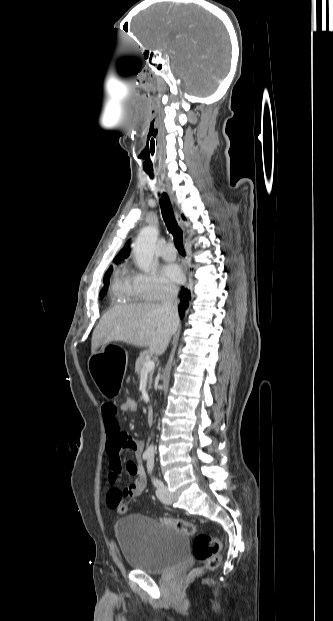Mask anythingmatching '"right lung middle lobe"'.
Wrapping results in <instances>:
<instances>
[{"instance_id":"right-lung-middle-lobe-1","label":"right lung middle lobe","mask_w":333,"mask_h":621,"mask_svg":"<svg viewBox=\"0 0 333 621\" xmlns=\"http://www.w3.org/2000/svg\"><path fill=\"white\" fill-rule=\"evenodd\" d=\"M112 271V267H110L108 269V271L106 272L105 276H104V287L102 288L101 292H100V297L105 296V294L107 293V289H108V278L111 274Z\"/></svg>"}]
</instances>
